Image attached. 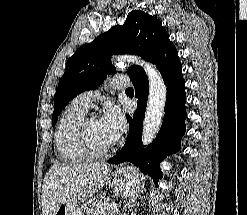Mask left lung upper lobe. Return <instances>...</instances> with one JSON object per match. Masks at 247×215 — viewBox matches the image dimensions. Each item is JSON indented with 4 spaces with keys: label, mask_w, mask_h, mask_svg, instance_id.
Returning a JSON list of instances; mask_svg holds the SVG:
<instances>
[{
    "label": "left lung upper lobe",
    "mask_w": 247,
    "mask_h": 215,
    "mask_svg": "<svg viewBox=\"0 0 247 215\" xmlns=\"http://www.w3.org/2000/svg\"><path fill=\"white\" fill-rule=\"evenodd\" d=\"M169 40V35L161 22L149 14L134 10L126 18L124 25H116L95 40L80 47L66 63L54 97L52 125L59 114L78 94L100 85L107 74L115 73L111 55L137 54L151 61L159 49ZM140 66L127 70L130 79L142 71Z\"/></svg>",
    "instance_id": "5c2ea615"
}]
</instances>
